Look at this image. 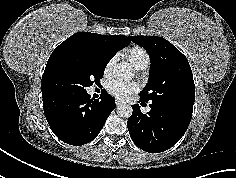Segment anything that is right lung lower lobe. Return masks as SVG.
<instances>
[{
	"label": "right lung lower lobe",
	"instance_id": "1",
	"mask_svg": "<svg viewBox=\"0 0 236 178\" xmlns=\"http://www.w3.org/2000/svg\"><path fill=\"white\" fill-rule=\"evenodd\" d=\"M43 109L52 132L63 142L79 146L94 140L115 109L106 91L100 99L87 92L44 94Z\"/></svg>",
	"mask_w": 236,
	"mask_h": 178
}]
</instances>
